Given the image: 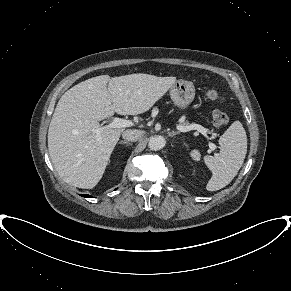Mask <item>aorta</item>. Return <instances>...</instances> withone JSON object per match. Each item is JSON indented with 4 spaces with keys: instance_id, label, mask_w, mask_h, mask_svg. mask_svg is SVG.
<instances>
[{
    "instance_id": "762f6f07",
    "label": "aorta",
    "mask_w": 291,
    "mask_h": 291,
    "mask_svg": "<svg viewBox=\"0 0 291 291\" xmlns=\"http://www.w3.org/2000/svg\"><path fill=\"white\" fill-rule=\"evenodd\" d=\"M166 144V140L163 136H154L151 137L148 143V146L151 150L157 151L161 150Z\"/></svg>"
}]
</instances>
